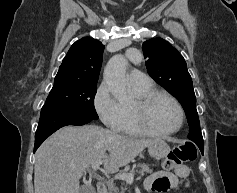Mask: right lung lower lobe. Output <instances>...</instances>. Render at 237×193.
Instances as JSON below:
<instances>
[{"mask_svg": "<svg viewBox=\"0 0 237 193\" xmlns=\"http://www.w3.org/2000/svg\"><path fill=\"white\" fill-rule=\"evenodd\" d=\"M92 120L91 118L75 117L58 111L41 110L39 124L35 134L34 152L47 137L59 128L67 125L79 126Z\"/></svg>", "mask_w": 237, "mask_h": 193, "instance_id": "98d812e1", "label": "right lung lower lobe"}]
</instances>
